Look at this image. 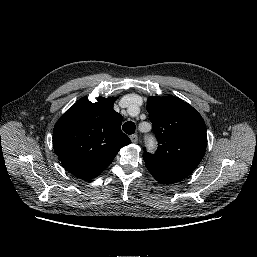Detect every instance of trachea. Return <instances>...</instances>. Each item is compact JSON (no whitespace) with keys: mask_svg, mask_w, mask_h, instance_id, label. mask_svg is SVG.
<instances>
[{"mask_svg":"<svg viewBox=\"0 0 257 257\" xmlns=\"http://www.w3.org/2000/svg\"><path fill=\"white\" fill-rule=\"evenodd\" d=\"M135 128H136L135 123L130 121L125 122L122 126L123 131L129 135L135 132Z\"/></svg>","mask_w":257,"mask_h":257,"instance_id":"3493384b","label":"trachea"}]
</instances>
